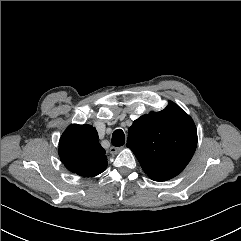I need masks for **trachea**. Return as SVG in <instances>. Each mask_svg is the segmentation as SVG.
<instances>
[{"mask_svg": "<svg viewBox=\"0 0 241 241\" xmlns=\"http://www.w3.org/2000/svg\"><path fill=\"white\" fill-rule=\"evenodd\" d=\"M125 143V135L121 129H117L112 135V144L116 147L122 146Z\"/></svg>", "mask_w": 241, "mask_h": 241, "instance_id": "obj_1", "label": "trachea"}]
</instances>
